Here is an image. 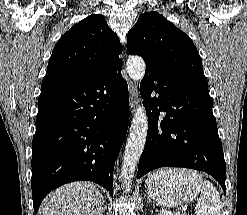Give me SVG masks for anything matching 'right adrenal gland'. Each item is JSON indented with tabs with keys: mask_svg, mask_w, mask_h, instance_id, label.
<instances>
[{
	"mask_svg": "<svg viewBox=\"0 0 247 215\" xmlns=\"http://www.w3.org/2000/svg\"><path fill=\"white\" fill-rule=\"evenodd\" d=\"M104 211L106 210V206H104V209H103ZM101 215H103V214H101Z\"/></svg>",
	"mask_w": 247,
	"mask_h": 215,
	"instance_id": "obj_1",
	"label": "right adrenal gland"
}]
</instances>
